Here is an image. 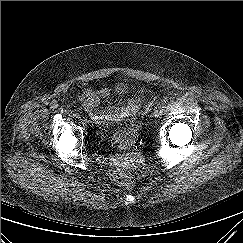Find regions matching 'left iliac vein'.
<instances>
[{
	"instance_id": "obj_1",
	"label": "left iliac vein",
	"mask_w": 243,
	"mask_h": 243,
	"mask_svg": "<svg viewBox=\"0 0 243 243\" xmlns=\"http://www.w3.org/2000/svg\"><path fill=\"white\" fill-rule=\"evenodd\" d=\"M154 116H155V117H160V116H161V111H159V110H155V111H154Z\"/></svg>"
}]
</instances>
